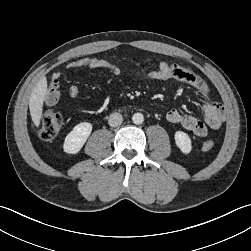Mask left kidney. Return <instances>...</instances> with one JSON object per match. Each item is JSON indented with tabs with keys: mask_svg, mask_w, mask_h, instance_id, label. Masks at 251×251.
<instances>
[{
	"mask_svg": "<svg viewBox=\"0 0 251 251\" xmlns=\"http://www.w3.org/2000/svg\"><path fill=\"white\" fill-rule=\"evenodd\" d=\"M174 138L176 145L182 151V153L189 154L191 152L192 144L188 134L183 131H177L175 132Z\"/></svg>",
	"mask_w": 251,
	"mask_h": 251,
	"instance_id": "5707ae66",
	"label": "left kidney"
}]
</instances>
